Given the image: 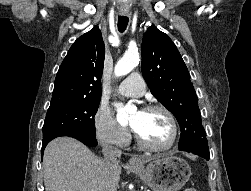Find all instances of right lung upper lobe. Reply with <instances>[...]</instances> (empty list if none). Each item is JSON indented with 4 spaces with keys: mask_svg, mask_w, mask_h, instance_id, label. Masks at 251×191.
Listing matches in <instances>:
<instances>
[{
    "mask_svg": "<svg viewBox=\"0 0 251 191\" xmlns=\"http://www.w3.org/2000/svg\"><path fill=\"white\" fill-rule=\"evenodd\" d=\"M104 56L102 35L95 26L69 49L57 72L50 106L100 100Z\"/></svg>",
    "mask_w": 251,
    "mask_h": 191,
    "instance_id": "right-lung-upper-lobe-1",
    "label": "right lung upper lobe"
}]
</instances>
